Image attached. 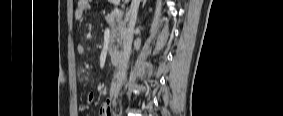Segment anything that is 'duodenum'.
I'll use <instances>...</instances> for the list:
<instances>
[{"label":"duodenum","instance_id":"410a0bca","mask_svg":"<svg viewBox=\"0 0 283 116\" xmlns=\"http://www.w3.org/2000/svg\"><path fill=\"white\" fill-rule=\"evenodd\" d=\"M111 60L115 67H119L121 65L122 54L120 51L115 50L111 54ZM120 80L118 74H116L112 81V89L116 90L119 87Z\"/></svg>","mask_w":283,"mask_h":116}]
</instances>
